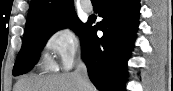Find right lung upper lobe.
Wrapping results in <instances>:
<instances>
[{
    "mask_svg": "<svg viewBox=\"0 0 173 91\" xmlns=\"http://www.w3.org/2000/svg\"><path fill=\"white\" fill-rule=\"evenodd\" d=\"M74 14L73 0H31L25 31L61 21Z\"/></svg>",
    "mask_w": 173,
    "mask_h": 91,
    "instance_id": "obj_1",
    "label": "right lung upper lobe"
}]
</instances>
